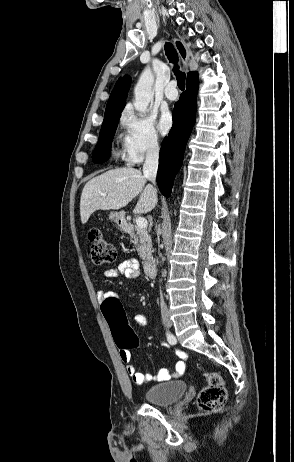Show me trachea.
<instances>
[{
	"label": "trachea",
	"instance_id": "1",
	"mask_svg": "<svg viewBox=\"0 0 294 462\" xmlns=\"http://www.w3.org/2000/svg\"><path fill=\"white\" fill-rule=\"evenodd\" d=\"M165 53L170 61V63L175 64L173 71L176 75V79L178 82V87L180 90L185 89V73L179 71V66H177L178 62V54L177 51L175 50L174 46L171 43H166L165 44Z\"/></svg>",
	"mask_w": 294,
	"mask_h": 462
}]
</instances>
